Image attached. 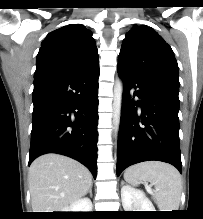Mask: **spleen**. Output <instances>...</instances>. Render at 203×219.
<instances>
[{
    "label": "spleen",
    "instance_id": "1",
    "mask_svg": "<svg viewBox=\"0 0 203 219\" xmlns=\"http://www.w3.org/2000/svg\"><path fill=\"white\" fill-rule=\"evenodd\" d=\"M126 181L133 185L150 182L155 186L153 198L160 211L178 210L182 191L181 176L170 164L149 161L135 164L126 169Z\"/></svg>",
    "mask_w": 203,
    "mask_h": 219
}]
</instances>
